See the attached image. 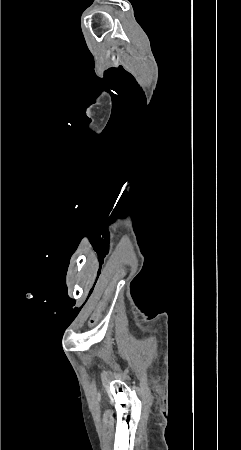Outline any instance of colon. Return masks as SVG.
Instances as JSON below:
<instances>
[{
	"mask_svg": "<svg viewBox=\"0 0 241 450\" xmlns=\"http://www.w3.org/2000/svg\"><path fill=\"white\" fill-rule=\"evenodd\" d=\"M113 291L114 288L112 286H109L107 288V291L105 292V296L100 298L98 308L95 310V314L90 318V326L95 325L97 323L98 317H102L104 315V311L107 309V306L111 305V295Z\"/></svg>",
	"mask_w": 241,
	"mask_h": 450,
	"instance_id": "obj_1",
	"label": "colon"
}]
</instances>
